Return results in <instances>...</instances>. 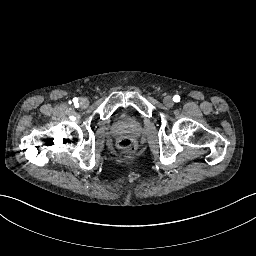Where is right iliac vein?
<instances>
[{"label": "right iliac vein", "mask_w": 256, "mask_h": 256, "mask_svg": "<svg viewBox=\"0 0 256 256\" xmlns=\"http://www.w3.org/2000/svg\"><path fill=\"white\" fill-rule=\"evenodd\" d=\"M79 103L82 108H86L89 105V101L87 98H81Z\"/></svg>", "instance_id": "obj_1"}]
</instances>
